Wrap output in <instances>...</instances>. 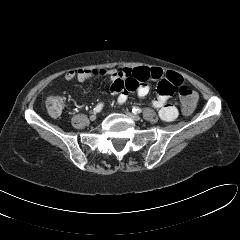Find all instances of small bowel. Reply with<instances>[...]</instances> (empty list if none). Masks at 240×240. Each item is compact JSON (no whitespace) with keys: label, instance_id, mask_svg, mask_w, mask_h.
<instances>
[{"label":"small bowel","instance_id":"c3829d8e","mask_svg":"<svg viewBox=\"0 0 240 240\" xmlns=\"http://www.w3.org/2000/svg\"><path fill=\"white\" fill-rule=\"evenodd\" d=\"M96 76L109 77L110 91L118 95L117 102L120 105L127 101L131 92H135L139 98H145L150 91L147 82L157 81L158 94L152 101V106L158 110L159 117L165 122H171L177 118L178 110L175 105L168 102V99L173 91L183 84V77L178 73L156 67L127 68L123 71L101 68L70 70L64 78L67 82L73 80L86 82Z\"/></svg>","mask_w":240,"mask_h":240}]
</instances>
